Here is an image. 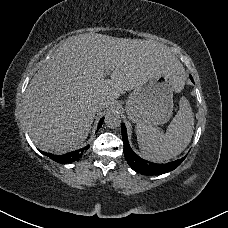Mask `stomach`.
Returning <instances> with one entry per match:
<instances>
[{
	"mask_svg": "<svg viewBox=\"0 0 228 228\" xmlns=\"http://www.w3.org/2000/svg\"><path fill=\"white\" fill-rule=\"evenodd\" d=\"M173 91L171 75L150 78L129 95L125 105L129 119L147 127L164 124L172 116Z\"/></svg>",
	"mask_w": 228,
	"mask_h": 228,
	"instance_id": "0dacf381",
	"label": "stomach"
}]
</instances>
